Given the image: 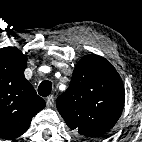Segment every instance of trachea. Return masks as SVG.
Returning a JSON list of instances; mask_svg holds the SVG:
<instances>
[{"label": "trachea", "instance_id": "3493384b", "mask_svg": "<svg viewBox=\"0 0 142 142\" xmlns=\"http://www.w3.org/2000/svg\"><path fill=\"white\" fill-rule=\"evenodd\" d=\"M52 84L49 81H44L40 84L38 88V93L41 96H48L51 92Z\"/></svg>", "mask_w": 142, "mask_h": 142}]
</instances>
